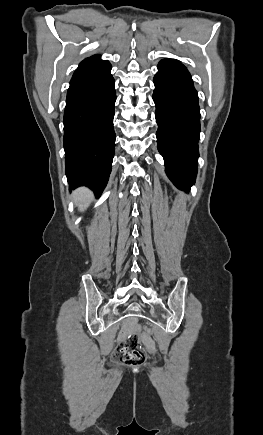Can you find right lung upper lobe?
<instances>
[{"label":"right lung upper lobe","instance_id":"right-lung-upper-lobe-1","mask_svg":"<svg viewBox=\"0 0 263 435\" xmlns=\"http://www.w3.org/2000/svg\"><path fill=\"white\" fill-rule=\"evenodd\" d=\"M108 61L105 60H101V56L100 55H93L91 57H88L86 59H84L80 65L78 66V68L76 69V71L91 67V66H96V65H100L103 63H106Z\"/></svg>","mask_w":263,"mask_h":435}]
</instances>
